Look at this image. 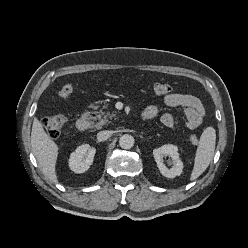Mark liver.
<instances>
[{
  "mask_svg": "<svg viewBox=\"0 0 248 248\" xmlns=\"http://www.w3.org/2000/svg\"><path fill=\"white\" fill-rule=\"evenodd\" d=\"M32 152L43 174L53 183H57L56 161L58 146L45 132L42 123L34 118L31 131Z\"/></svg>",
  "mask_w": 248,
  "mask_h": 248,
  "instance_id": "1",
  "label": "liver"
}]
</instances>
